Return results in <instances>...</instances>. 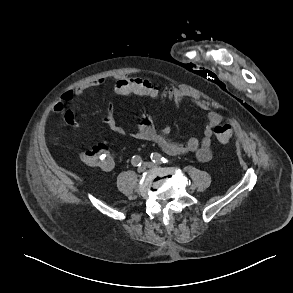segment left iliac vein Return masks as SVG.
I'll use <instances>...</instances> for the list:
<instances>
[{
    "instance_id": "4c4485c4",
    "label": "left iliac vein",
    "mask_w": 293,
    "mask_h": 293,
    "mask_svg": "<svg viewBox=\"0 0 293 293\" xmlns=\"http://www.w3.org/2000/svg\"><path fill=\"white\" fill-rule=\"evenodd\" d=\"M144 166H145L146 168H156V167H158V165L155 164V163H153V162H145V163H144Z\"/></svg>"
}]
</instances>
